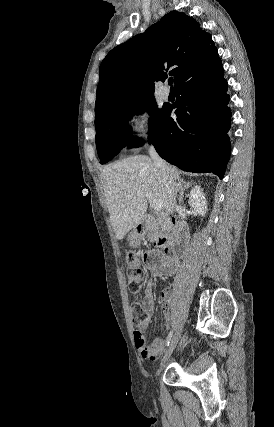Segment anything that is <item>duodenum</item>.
<instances>
[{
    "label": "duodenum",
    "mask_w": 274,
    "mask_h": 427,
    "mask_svg": "<svg viewBox=\"0 0 274 427\" xmlns=\"http://www.w3.org/2000/svg\"><path fill=\"white\" fill-rule=\"evenodd\" d=\"M146 223L140 222L136 227V232L138 235H141L144 231ZM179 222L175 219H172L166 227V232L159 240V245L163 248V254L166 258H171L173 256L172 247L174 245L175 239L179 231Z\"/></svg>",
    "instance_id": "1"
}]
</instances>
